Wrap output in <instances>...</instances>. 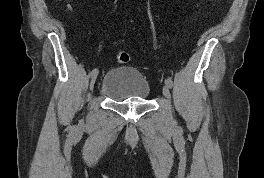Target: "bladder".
Returning a JSON list of instances; mask_svg holds the SVG:
<instances>
[{
  "label": "bladder",
  "mask_w": 264,
  "mask_h": 178,
  "mask_svg": "<svg viewBox=\"0 0 264 178\" xmlns=\"http://www.w3.org/2000/svg\"><path fill=\"white\" fill-rule=\"evenodd\" d=\"M150 84L144 75L133 67H117L108 71L100 86V93L113 101L147 100Z\"/></svg>",
  "instance_id": "bladder-1"
}]
</instances>
